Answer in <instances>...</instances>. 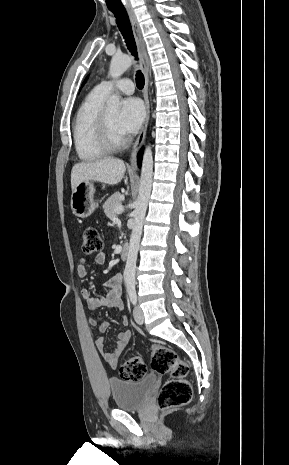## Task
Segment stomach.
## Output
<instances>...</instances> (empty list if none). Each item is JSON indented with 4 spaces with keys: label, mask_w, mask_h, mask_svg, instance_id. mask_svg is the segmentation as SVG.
Returning <instances> with one entry per match:
<instances>
[{
    "label": "stomach",
    "mask_w": 289,
    "mask_h": 465,
    "mask_svg": "<svg viewBox=\"0 0 289 465\" xmlns=\"http://www.w3.org/2000/svg\"><path fill=\"white\" fill-rule=\"evenodd\" d=\"M95 188L91 181L78 183L71 195V209L79 218L89 217L97 208L98 203L94 197Z\"/></svg>",
    "instance_id": "0dacf381"
}]
</instances>
